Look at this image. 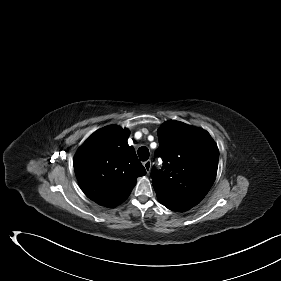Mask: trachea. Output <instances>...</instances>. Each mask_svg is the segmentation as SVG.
I'll list each match as a JSON object with an SVG mask.
<instances>
[{
    "label": "trachea",
    "instance_id": "3493384b",
    "mask_svg": "<svg viewBox=\"0 0 281 281\" xmlns=\"http://www.w3.org/2000/svg\"><path fill=\"white\" fill-rule=\"evenodd\" d=\"M138 156L141 161H146L149 158V150L147 147L142 146L138 149Z\"/></svg>",
    "mask_w": 281,
    "mask_h": 281
}]
</instances>
